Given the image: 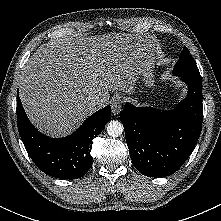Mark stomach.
Instances as JSON below:
<instances>
[{
    "instance_id": "obj_1",
    "label": "stomach",
    "mask_w": 221,
    "mask_h": 221,
    "mask_svg": "<svg viewBox=\"0 0 221 221\" xmlns=\"http://www.w3.org/2000/svg\"><path fill=\"white\" fill-rule=\"evenodd\" d=\"M153 68L154 65H151L147 68H145L144 72H142V81L147 87H151L154 85L155 78H154V73H153Z\"/></svg>"
}]
</instances>
